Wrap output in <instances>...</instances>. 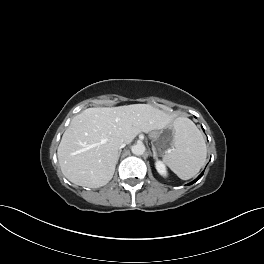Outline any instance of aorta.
I'll return each instance as SVG.
<instances>
[{
    "label": "aorta",
    "instance_id": "762f6f07",
    "mask_svg": "<svg viewBox=\"0 0 264 264\" xmlns=\"http://www.w3.org/2000/svg\"><path fill=\"white\" fill-rule=\"evenodd\" d=\"M131 150L134 155H143L146 148L144 144L138 143V144L133 145Z\"/></svg>",
    "mask_w": 264,
    "mask_h": 264
}]
</instances>
